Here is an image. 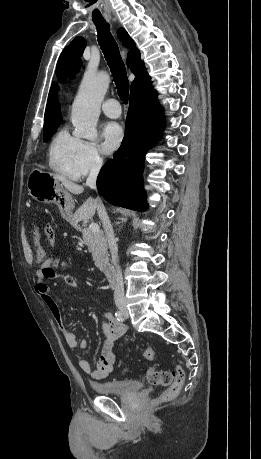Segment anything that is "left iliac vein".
Instances as JSON below:
<instances>
[{"instance_id":"left-iliac-vein-1","label":"left iliac vein","mask_w":261,"mask_h":459,"mask_svg":"<svg viewBox=\"0 0 261 459\" xmlns=\"http://www.w3.org/2000/svg\"><path fill=\"white\" fill-rule=\"evenodd\" d=\"M123 314H124V317H125V318H128V317H129V313H128L127 309H125V310L123 311Z\"/></svg>"}]
</instances>
